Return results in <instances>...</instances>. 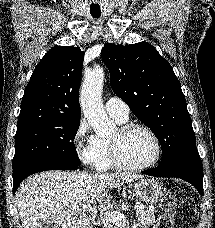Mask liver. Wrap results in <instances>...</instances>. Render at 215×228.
Instances as JSON below:
<instances>
[{
	"instance_id": "6515ba94",
	"label": "liver",
	"mask_w": 215,
	"mask_h": 228,
	"mask_svg": "<svg viewBox=\"0 0 215 228\" xmlns=\"http://www.w3.org/2000/svg\"><path fill=\"white\" fill-rule=\"evenodd\" d=\"M144 178L139 174L39 172L20 184L16 204L23 228H93L86 204L109 206V190ZM95 214V212H93ZM47 224V226H46Z\"/></svg>"
}]
</instances>
